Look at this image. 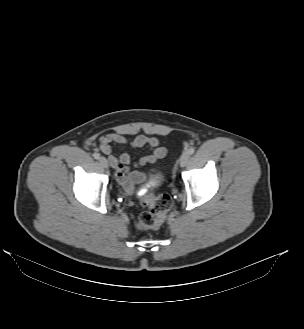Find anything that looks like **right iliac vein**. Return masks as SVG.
<instances>
[{"instance_id": "obj_1", "label": "right iliac vein", "mask_w": 304, "mask_h": 329, "mask_svg": "<svg viewBox=\"0 0 304 329\" xmlns=\"http://www.w3.org/2000/svg\"><path fill=\"white\" fill-rule=\"evenodd\" d=\"M99 162L101 164L102 167L104 168H108V161L105 157H100L99 158Z\"/></svg>"}]
</instances>
